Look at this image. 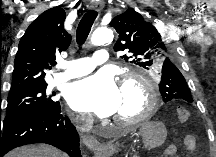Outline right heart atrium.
<instances>
[{"mask_svg":"<svg viewBox=\"0 0 216 157\" xmlns=\"http://www.w3.org/2000/svg\"><path fill=\"white\" fill-rule=\"evenodd\" d=\"M84 120H85V121H88V119H87V118H85Z\"/></svg>","mask_w":216,"mask_h":157,"instance_id":"obj_1","label":"right heart atrium"}]
</instances>
